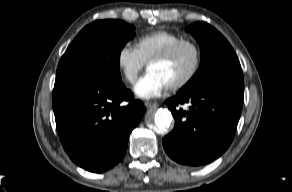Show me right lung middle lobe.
<instances>
[{
	"label": "right lung middle lobe",
	"instance_id": "1",
	"mask_svg": "<svg viewBox=\"0 0 292 192\" xmlns=\"http://www.w3.org/2000/svg\"><path fill=\"white\" fill-rule=\"evenodd\" d=\"M134 34V27L121 20L89 24L67 48L57 73L89 74L114 85L121 84L120 52Z\"/></svg>",
	"mask_w": 292,
	"mask_h": 192
}]
</instances>
